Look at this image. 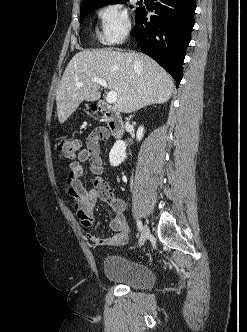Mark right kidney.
<instances>
[{"instance_id":"right-kidney-1","label":"right kidney","mask_w":247,"mask_h":332,"mask_svg":"<svg viewBox=\"0 0 247 332\" xmlns=\"http://www.w3.org/2000/svg\"><path fill=\"white\" fill-rule=\"evenodd\" d=\"M144 136V128L142 126L137 130L136 138L140 141ZM126 143L122 140L117 141L109 153V161L111 166H119L126 159Z\"/></svg>"}]
</instances>
